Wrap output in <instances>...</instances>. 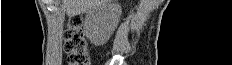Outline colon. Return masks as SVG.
Returning <instances> with one entry per match:
<instances>
[{"label": "colon", "instance_id": "1", "mask_svg": "<svg viewBox=\"0 0 232 65\" xmlns=\"http://www.w3.org/2000/svg\"><path fill=\"white\" fill-rule=\"evenodd\" d=\"M64 49L68 65H90L91 58L80 16H72L67 22L64 31Z\"/></svg>", "mask_w": 232, "mask_h": 65}]
</instances>
